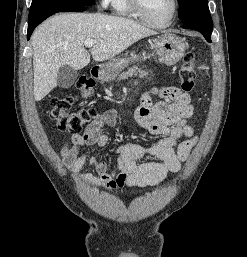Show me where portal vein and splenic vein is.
<instances>
[{
  "label": "portal vein and splenic vein",
  "instance_id": "1",
  "mask_svg": "<svg viewBox=\"0 0 247 257\" xmlns=\"http://www.w3.org/2000/svg\"><path fill=\"white\" fill-rule=\"evenodd\" d=\"M96 43H97V41H95L93 39H87V40H85L84 45H85V47H92Z\"/></svg>",
  "mask_w": 247,
  "mask_h": 257
}]
</instances>
